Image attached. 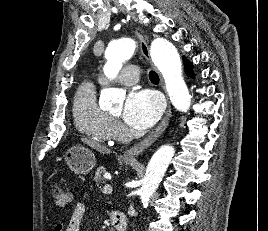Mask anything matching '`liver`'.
<instances>
[{"instance_id":"obj_1","label":"liver","mask_w":268,"mask_h":231,"mask_svg":"<svg viewBox=\"0 0 268 231\" xmlns=\"http://www.w3.org/2000/svg\"><path fill=\"white\" fill-rule=\"evenodd\" d=\"M83 142H85L86 144H88L90 147L98 150L99 152H106L107 149L104 146L99 145L98 143H96L95 141H91V140H87V139H83Z\"/></svg>"}]
</instances>
